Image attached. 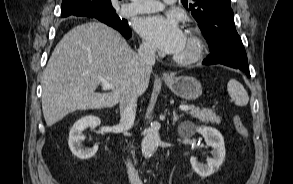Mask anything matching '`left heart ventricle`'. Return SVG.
<instances>
[{
  "label": "left heart ventricle",
  "mask_w": 293,
  "mask_h": 184,
  "mask_svg": "<svg viewBox=\"0 0 293 184\" xmlns=\"http://www.w3.org/2000/svg\"><path fill=\"white\" fill-rule=\"evenodd\" d=\"M193 50H194L193 38L190 35L185 33L184 38H183V42H182L181 46L179 47V49L177 50V52L174 53V55L188 56L193 52Z\"/></svg>",
  "instance_id": "1"
}]
</instances>
